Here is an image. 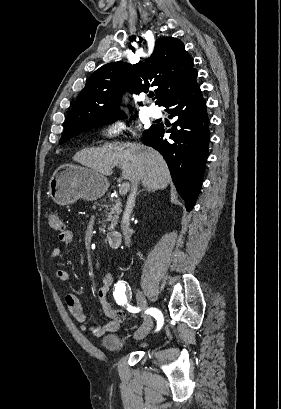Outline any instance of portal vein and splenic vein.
Listing matches in <instances>:
<instances>
[{
  "instance_id": "1",
  "label": "portal vein and splenic vein",
  "mask_w": 281,
  "mask_h": 409,
  "mask_svg": "<svg viewBox=\"0 0 281 409\" xmlns=\"http://www.w3.org/2000/svg\"><path fill=\"white\" fill-rule=\"evenodd\" d=\"M131 186H132V183L130 180H123L119 188V194L124 197L127 196L129 193L127 189H130Z\"/></svg>"
}]
</instances>
